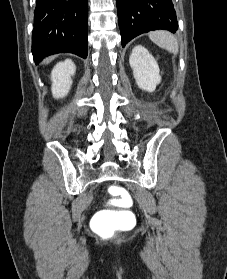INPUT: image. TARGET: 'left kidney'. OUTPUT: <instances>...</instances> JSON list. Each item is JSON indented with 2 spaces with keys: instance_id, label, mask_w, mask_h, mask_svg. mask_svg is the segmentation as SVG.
<instances>
[{
  "instance_id": "1",
  "label": "left kidney",
  "mask_w": 227,
  "mask_h": 279,
  "mask_svg": "<svg viewBox=\"0 0 227 279\" xmlns=\"http://www.w3.org/2000/svg\"><path fill=\"white\" fill-rule=\"evenodd\" d=\"M133 76L138 87L142 90L153 92L161 82L159 66L154 57L146 48L137 45L133 48L129 58Z\"/></svg>"
}]
</instances>
